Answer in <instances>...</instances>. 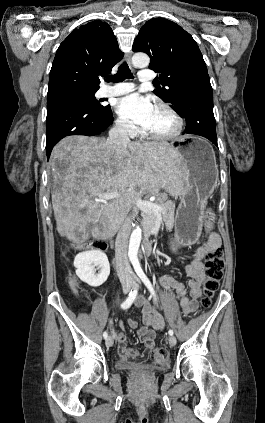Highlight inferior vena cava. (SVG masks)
I'll return each mask as SVG.
<instances>
[{
    "instance_id": "obj_1",
    "label": "inferior vena cava",
    "mask_w": 265,
    "mask_h": 423,
    "mask_svg": "<svg viewBox=\"0 0 265 423\" xmlns=\"http://www.w3.org/2000/svg\"><path fill=\"white\" fill-rule=\"evenodd\" d=\"M129 125L118 121L109 131L107 142L119 146H127L130 143ZM131 233V221L125 220L121 225L115 241L116 270L120 280L132 279L133 272L127 257V244Z\"/></svg>"
}]
</instances>
